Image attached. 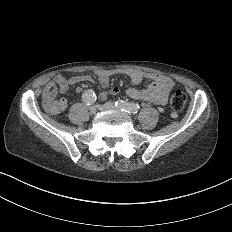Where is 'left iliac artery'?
Returning a JSON list of instances; mask_svg holds the SVG:
<instances>
[{
  "mask_svg": "<svg viewBox=\"0 0 232 232\" xmlns=\"http://www.w3.org/2000/svg\"><path fill=\"white\" fill-rule=\"evenodd\" d=\"M116 107L127 113L135 114L140 110V106L135 103H126L124 101L115 102Z\"/></svg>",
  "mask_w": 232,
  "mask_h": 232,
  "instance_id": "44dca946",
  "label": "left iliac artery"
}]
</instances>
